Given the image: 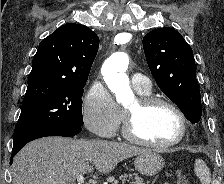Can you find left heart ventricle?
<instances>
[{
  "label": "left heart ventricle",
  "mask_w": 224,
  "mask_h": 184,
  "mask_svg": "<svg viewBox=\"0 0 224 184\" xmlns=\"http://www.w3.org/2000/svg\"><path fill=\"white\" fill-rule=\"evenodd\" d=\"M135 104L136 101L127 108H131ZM137 130L147 140L164 144L174 140L179 135L180 121L169 107L156 105L140 116Z\"/></svg>",
  "instance_id": "left-heart-ventricle-1"
}]
</instances>
